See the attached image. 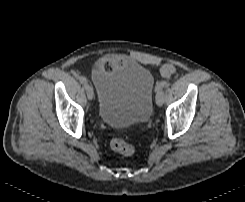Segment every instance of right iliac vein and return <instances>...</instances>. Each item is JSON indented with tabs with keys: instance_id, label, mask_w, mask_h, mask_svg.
<instances>
[{
	"instance_id": "1",
	"label": "right iliac vein",
	"mask_w": 245,
	"mask_h": 202,
	"mask_svg": "<svg viewBox=\"0 0 245 202\" xmlns=\"http://www.w3.org/2000/svg\"><path fill=\"white\" fill-rule=\"evenodd\" d=\"M85 90H86V94H87L88 99L92 100L93 96H94L93 88L89 84H86Z\"/></svg>"
}]
</instances>
